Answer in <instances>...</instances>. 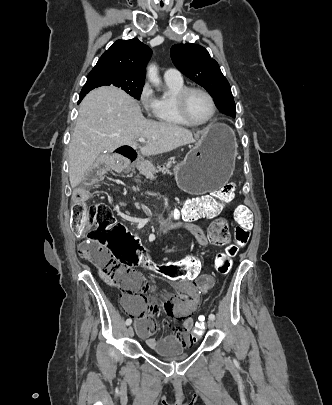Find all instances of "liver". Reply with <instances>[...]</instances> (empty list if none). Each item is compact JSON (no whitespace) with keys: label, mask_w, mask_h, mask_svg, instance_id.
I'll list each match as a JSON object with an SVG mask.
<instances>
[{"label":"liver","mask_w":332,"mask_h":405,"mask_svg":"<svg viewBox=\"0 0 332 405\" xmlns=\"http://www.w3.org/2000/svg\"><path fill=\"white\" fill-rule=\"evenodd\" d=\"M139 137L147 139L141 154L155 156L193 143L200 134L193 137L186 128L145 119L138 103L116 87H100L88 93L81 102L69 144L71 187L80 184L103 151L135 146ZM106 160L110 164L109 156Z\"/></svg>","instance_id":"6515ba94"}]
</instances>
